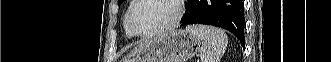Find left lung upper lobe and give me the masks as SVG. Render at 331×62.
<instances>
[{
	"mask_svg": "<svg viewBox=\"0 0 331 62\" xmlns=\"http://www.w3.org/2000/svg\"><path fill=\"white\" fill-rule=\"evenodd\" d=\"M122 2V0H118V3H121Z\"/></svg>",
	"mask_w": 331,
	"mask_h": 62,
	"instance_id": "1",
	"label": "left lung upper lobe"
}]
</instances>
